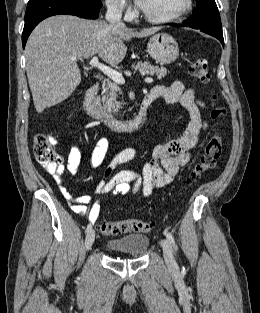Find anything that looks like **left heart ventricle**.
Listing matches in <instances>:
<instances>
[{
    "instance_id": "left-heart-ventricle-1",
    "label": "left heart ventricle",
    "mask_w": 260,
    "mask_h": 313,
    "mask_svg": "<svg viewBox=\"0 0 260 313\" xmlns=\"http://www.w3.org/2000/svg\"><path fill=\"white\" fill-rule=\"evenodd\" d=\"M185 0H142L140 7L154 17H166L179 11Z\"/></svg>"
}]
</instances>
